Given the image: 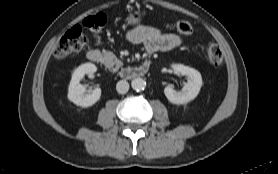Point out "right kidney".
<instances>
[{"mask_svg": "<svg viewBox=\"0 0 278 174\" xmlns=\"http://www.w3.org/2000/svg\"><path fill=\"white\" fill-rule=\"evenodd\" d=\"M97 67L92 63H85L80 65L72 74V79L68 89V99L81 107H89L94 105L101 96V89L95 88L89 94H85L86 88L80 84V80L86 74H93Z\"/></svg>", "mask_w": 278, "mask_h": 174, "instance_id": "ca27d5eb", "label": "right kidney"}]
</instances>
